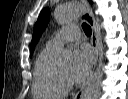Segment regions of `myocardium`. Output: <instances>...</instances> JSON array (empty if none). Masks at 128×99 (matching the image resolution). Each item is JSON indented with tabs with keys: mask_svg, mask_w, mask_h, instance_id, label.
I'll return each mask as SVG.
<instances>
[{
	"mask_svg": "<svg viewBox=\"0 0 128 99\" xmlns=\"http://www.w3.org/2000/svg\"><path fill=\"white\" fill-rule=\"evenodd\" d=\"M58 72H59L60 81L63 84V86L68 89L71 88L72 81H71L70 77L68 75H66L65 73H63L60 68H58Z\"/></svg>",
	"mask_w": 128,
	"mask_h": 99,
	"instance_id": "f54148a6",
	"label": "myocardium"
}]
</instances>
